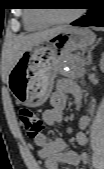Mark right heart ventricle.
<instances>
[{
  "label": "right heart ventricle",
  "mask_w": 104,
  "mask_h": 169,
  "mask_svg": "<svg viewBox=\"0 0 104 169\" xmlns=\"http://www.w3.org/2000/svg\"><path fill=\"white\" fill-rule=\"evenodd\" d=\"M24 23L26 28L31 30L40 29L49 25V22L42 18L37 12L25 13Z\"/></svg>",
  "instance_id": "e07e8e85"
}]
</instances>
